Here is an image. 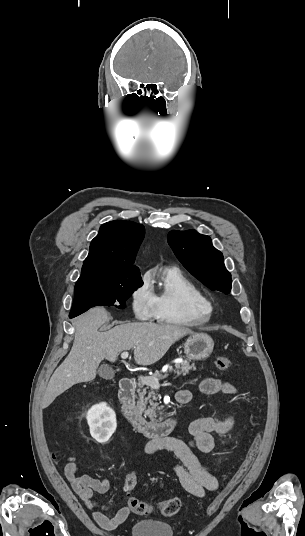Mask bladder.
<instances>
[{
  "mask_svg": "<svg viewBox=\"0 0 305 536\" xmlns=\"http://www.w3.org/2000/svg\"><path fill=\"white\" fill-rule=\"evenodd\" d=\"M130 534L131 536H174V528L170 522L146 517L132 525Z\"/></svg>",
  "mask_w": 305,
  "mask_h": 536,
  "instance_id": "obj_1",
  "label": "bladder"
}]
</instances>
